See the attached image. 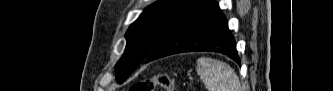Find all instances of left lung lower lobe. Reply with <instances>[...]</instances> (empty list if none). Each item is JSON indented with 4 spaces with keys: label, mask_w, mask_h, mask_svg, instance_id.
<instances>
[{
    "label": "left lung lower lobe",
    "mask_w": 333,
    "mask_h": 91,
    "mask_svg": "<svg viewBox=\"0 0 333 91\" xmlns=\"http://www.w3.org/2000/svg\"><path fill=\"white\" fill-rule=\"evenodd\" d=\"M196 51L222 53L240 63L228 22L214 0H197L156 45L146 62Z\"/></svg>",
    "instance_id": "1"
}]
</instances>
